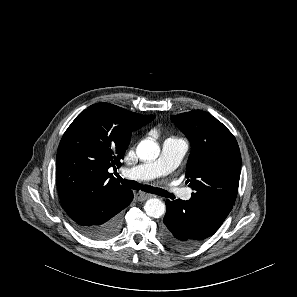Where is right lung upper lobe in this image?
Instances as JSON below:
<instances>
[{"instance_id": "cb5924a9", "label": "right lung upper lobe", "mask_w": 297, "mask_h": 297, "mask_svg": "<svg viewBox=\"0 0 297 297\" xmlns=\"http://www.w3.org/2000/svg\"><path fill=\"white\" fill-rule=\"evenodd\" d=\"M154 118L109 103L91 105L75 118L60 141L56 159L58 193L65 211L86 195L127 189L108 169L121 165L132 132Z\"/></svg>"}]
</instances>
